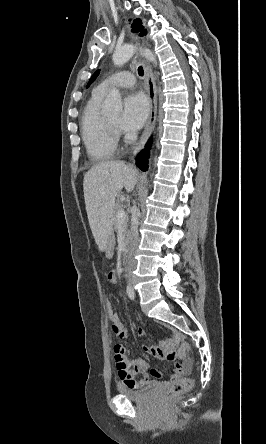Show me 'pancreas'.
<instances>
[{
	"label": "pancreas",
	"instance_id": "pancreas-1",
	"mask_svg": "<svg viewBox=\"0 0 266 444\" xmlns=\"http://www.w3.org/2000/svg\"><path fill=\"white\" fill-rule=\"evenodd\" d=\"M123 209L122 205L117 204L115 207V221H114V229L118 230L119 227L121 228L122 232H123V236L125 237L127 234V228H128V222H129V218L127 215H125V217L121 220V222L119 221L117 214L118 212Z\"/></svg>",
	"mask_w": 266,
	"mask_h": 444
}]
</instances>
